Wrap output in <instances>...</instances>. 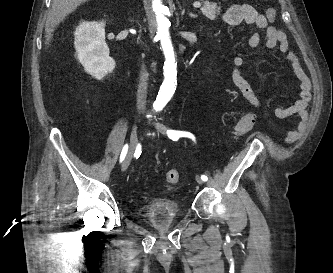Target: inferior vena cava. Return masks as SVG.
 I'll return each mask as SVG.
<instances>
[{
  "instance_id": "1",
  "label": "inferior vena cava",
  "mask_w": 333,
  "mask_h": 273,
  "mask_svg": "<svg viewBox=\"0 0 333 273\" xmlns=\"http://www.w3.org/2000/svg\"><path fill=\"white\" fill-rule=\"evenodd\" d=\"M147 87H148V73L145 70L144 66H142V71L140 73V82L137 91V108L139 110L145 107L146 97H147Z\"/></svg>"
}]
</instances>
